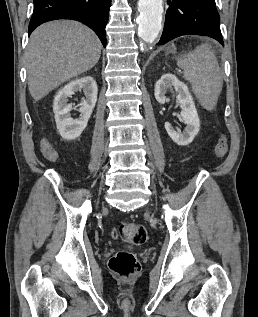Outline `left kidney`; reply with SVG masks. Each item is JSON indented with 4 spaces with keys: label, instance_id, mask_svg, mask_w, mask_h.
<instances>
[{
    "label": "left kidney",
    "instance_id": "5707ae66",
    "mask_svg": "<svg viewBox=\"0 0 258 317\" xmlns=\"http://www.w3.org/2000/svg\"><path fill=\"white\" fill-rule=\"evenodd\" d=\"M168 88H175L178 92L177 98L182 108L181 118H183L186 126L183 132H177V130H174L170 122H165L164 126L174 142L181 144V146H186V144H190V142H192L194 136H196L197 132H199V116L197 114L193 98L188 90V86H186L185 82H182V80H178L177 76L172 74V72L162 74L161 78H159L155 84L154 94L158 102L164 104L166 100L165 92Z\"/></svg>",
    "mask_w": 258,
    "mask_h": 317
}]
</instances>
